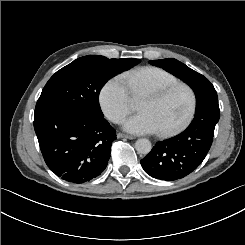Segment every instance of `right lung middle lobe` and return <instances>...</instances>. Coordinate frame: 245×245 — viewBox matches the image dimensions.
<instances>
[{"label":"right lung middle lobe","mask_w":245,"mask_h":245,"mask_svg":"<svg viewBox=\"0 0 245 245\" xmlns=\"http://www.w3.org/2000/svg\"><path fill=\"white\" fill-rule=\"evenodd\" d=\"M140 62L139 59H108L88 55L57 71L47 82L37 101L35 114L64 109L101 119L99 93L114 75Z\"/></svg>","instance_id":"dd1d6c3e"}]
</instances>
